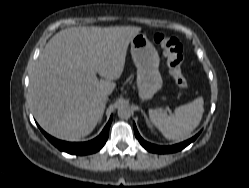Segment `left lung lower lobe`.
I'll return each mask as SVG.
<instances>
[{
	"mask_svg": "<svg viewBox=\"0 0 249 188\" xmlns=\"http://www.w3.org/2000/svg\"><path fill=\"white\" fill-rule=\"evenodd\" d=\"M134 125V132H135V136L136 138L139 140L140 144L148 151L150 152H154V153H172V152H176V151H179V150H182L183 148H185L187 145H189L191 142H193L197 136L199 135V133L194 136L193 138L183 142V143H180V144H176V145H173V146H157V145H154V144H151V143H148L146 142L145 140H143L141 138V136L139 135L138 133V130L136 128V125L135 123L133 124Z\"/></svg>",
	"mask_w": 249,
	"mask_h": 188,
	"instance_id": "left-lung-lower-lobe-1",
	"label": "left lung lower lobe"
}]
</instances>
